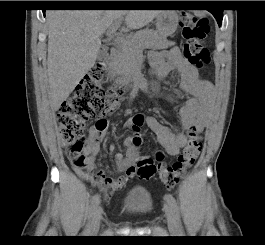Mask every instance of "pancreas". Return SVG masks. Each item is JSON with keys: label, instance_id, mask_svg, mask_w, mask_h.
<instances>
[{"label": "pancreas", "instance_id": "cf45deb5", "mask_svg": "<svg viewBox=\"0 0 265 245\" xmlns=\"http://www.w3.org/2000/svg\"><path fill=\"white\" fill-rule=\"evenodd\" d=\"M172 45H174L173 42L168 41L154 30H141L130 36L126 44L120 45L114 59L113 70L129 83L137 69L144 48L166 49Z\"/></svg>", "mask_w": 265, "mask_h": 245}]
</instances>
